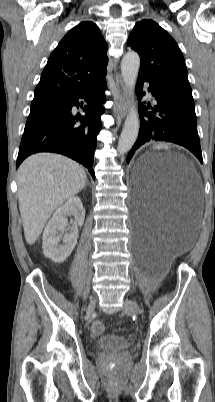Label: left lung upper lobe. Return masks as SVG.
<instances>
[{
	"label": "left lung upper lobe",
	"instance_id": "1",
	"mask_svg": "<svg viewBox=\"0 0 215 402\" xmlns=\"http://www.w3.org/2000/svg\"><path fill=\"white\" fill-rule=\"evenodd\" d=\"M127 45L140 56L139 75L148 77L171 95L194 104L184 57L163 28L144 19L134 26Z\"/></svg>",
	"mask_w": 215,
	"mask_h": 402
}]
</instances>
